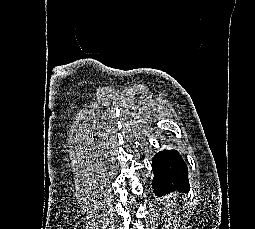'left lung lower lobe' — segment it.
I'll use <instances>...</instances> for the list:
<instances>
[{
  "instance_id": "0a47b994",
  "label": "left lung lower lobe",
  "mask_w": 255,
  "mask_h": 229,
  "mask_svg": "<svg viewBox=\"0 0 255 229\" xmlns=\"http://www.w3.org/2000/svg\"><path fill=\"white\" fill-rule=\"evenodd\" d=\"M154 193L159 195L172 190L188 192V169L175 149L164 150L153 157Z\"/></svg>"
}]
</instances>
